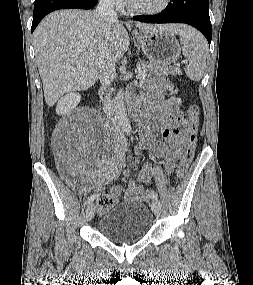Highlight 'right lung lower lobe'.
Wrapping results in <instances>:
<instances>
[{
    "label": "right lung lower lobe",
    "instance_id": "right-lung-lower-lobe-1",
    "mask_svg": "<svg viewBox=\"0 0 253 285\" xmlns=\"http://www.w3.org/2000/svg\"><path fill=\"white\" fill-rule=\"evenodd\" d=\"M96 3L97 0H35L31 32L35 30L43 17L52 11L71 8L90 9Z\"/></svg>",
    "mask_w": 253,
    "mask_h": 285
}]
</instances>
